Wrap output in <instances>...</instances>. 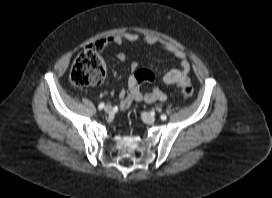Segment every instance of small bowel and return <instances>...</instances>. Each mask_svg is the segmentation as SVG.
Returning a JSON list of instances; mask_svg holds the SVG:
<instances>
[{"label":"small bowel","instance_id":"obj_1","mask_svg":"<svg viewBox=\"0 0 272 198\" xmlns=\"http://www.w3.org/2000/svg\"><path fill=\"white\" fill-rule=\"evenodd\" d=\"M139 40L136 33H122L115 36L106 37L95 42L92 47L96 50L103 51L111 45H122L124 42H135ZM142 41L146 44H160L162 49L167 53L173 55L180 61V67L172 69L165 73L162 77V82L169 86L185 87L190 85L188 73L190 65L186 59V54L170 42L161 40L155 36L146 35L142 37ZM118 59L127 61L128 58L125 54H118ZM139 65L137 62L131 63V73L127 79V89L120 92V107L122 110H128L132 101L154 103L156 101H165L167 94L161 89L155 87L147 93H142L141 84L146 81H152L153 76L139 75Z\"/></svg>","mask_w":272,"mask_h":198}]
</instances>
